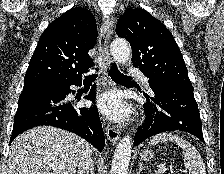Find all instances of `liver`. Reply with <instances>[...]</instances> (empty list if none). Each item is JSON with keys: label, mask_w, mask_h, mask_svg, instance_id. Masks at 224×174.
Listing matches in <instances>:
<instances>
[{"label": "liver", "mask_w": 224, "mask_h": 174, "mask_svg": "<svg viewBox=\"0 0 224 174\" xmlns=\"http://www.w3.org/2000/svg\"><path fill=\"white\" fill-rule=\"evenodd\" d=\"M88 142L71 132L39 126L12 142L8 174H75Z\"/></svg>", "instance_id": "obj_1"}]
</instances>
